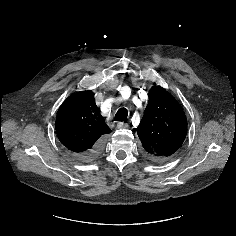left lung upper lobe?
Returning <instances> with one entry per match:
<instances>
[{
	"label": "left lung upper lobe",
	"instance_id": "5c2ea615",
	"mask_svg": "<svg viewBox=\"0 0 236 236\" xmlns=\"http://www.w3.org/2000/svg\"><path fill=\"white\" fill-rule=\"evenodd\" d=\"M186 132L187 119L177 100L164 88L152 87L137 127L145 155L155 162L168 160L181 147Z\"/></svg>",
	"mask_w": 236,
	"mask_h": 236
}]
</instances>
